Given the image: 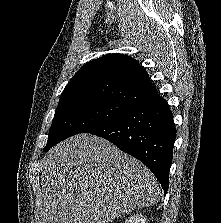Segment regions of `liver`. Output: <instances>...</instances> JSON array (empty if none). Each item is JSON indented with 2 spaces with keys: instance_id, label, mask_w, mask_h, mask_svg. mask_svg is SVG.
<instances>
[{
  "instance_id": "obj_1",
  "label": "liver",
  "mask_w": 221,
  "mask_h": 223,
  "mask_svg": "<svg viewBox=\"0 0 221 223\" xmlns=\"http://www.w3.org/2000/svg\"><path fill=\"white\" fill-rule=\"evenodd\" d=\"M41 163L36 223H110L161 198L146 166L97 136H72Z\"/></svg>"
}]
</instances>
